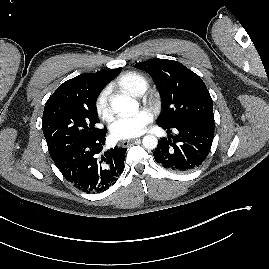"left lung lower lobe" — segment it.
I'll use <instances>...</instances> for the list:
<instances>
[{"label":"left lung lower lobe","instance_id":"left-lung-lower-lobe-1","mask_svg":"<svg viewBox=\"0 0 269 269\" xmlns=\"http://www.w3.org/2000/svg\"><path fill=\"white\" fill-rule=\"evenodd\" d=\"M159 126L167 129L169 134L174 128L177 134L158 142L153 153L157 163L168 170L184 173L195 170L204 162L214 138V121L189 120L174 127Z\"/></svg>","mask_w":269,"mask_h":269}]
</instances>
